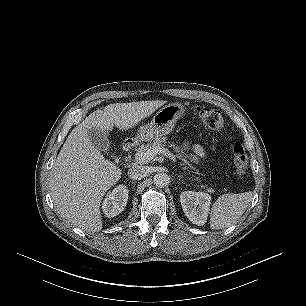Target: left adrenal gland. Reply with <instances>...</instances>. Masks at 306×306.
Returning a JSON list of instances; mask_svg holds the SVG:
<instances>
[{"label":"left adrenal gland","mask_w":306,"mask_h":306,"mask_svg":"<svg viewBox=\"0 0 306 306\" xmlns=\"http://www.w3.org/2000/svg\"><path fill=\"white\" fill-rule=\"evenodd\" d=\"M178 177H179V179H182V178H183V176H181V175H179Z\"/></svg>","instance_id":"left-adrenal-gland-1"}]
</instances>
